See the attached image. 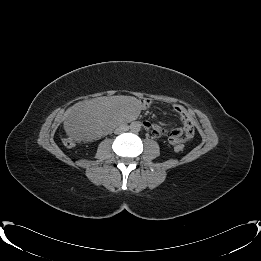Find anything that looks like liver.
<instances>
[{"label":"liver","mask_w":261,"mask_h":261,"mask_svg":"<svg viewBox=\"0 0 261 261\" xmlns=\"http://www.w3.org/2000/svg\"><path fill=\"white\" fill-rule=\"evenodd\" d=\"M138 111V102L130 97L94 98L79 102L70 119L64 123V128L75 139L93 132L100 135L102 129L107 126L117 125V117L130 120L138 114Z\"/></svg>","instance_id":"6515ba94"}]
</instances>
